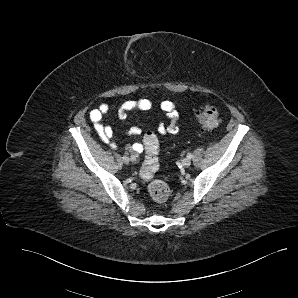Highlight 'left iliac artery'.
<instances>
[{
	"mask_svg": "<svg viewBox=\"0 0 298 298\" xmlns=\"http://www.w3.org/2000/svg\"><path fill=\"white\" fill-rule=\"evenodd\" d=\"M187 157L191 159L193 157L192 153H188Z\"/></svg>",
	"mask_w": 298,
	"mask_h": 298,
	"instance_id": "left-iliac-artery-1",
	"label": "left iliac artery"
}]
</instances>
